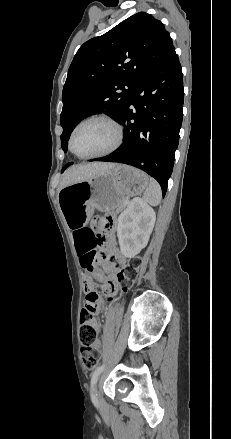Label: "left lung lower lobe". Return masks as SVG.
<instances>
[{
	"mask_svg": "<svg viewBox=\"0 0 231 439\" xmlns=\"http://www.w3.org/2000/svg\"><path fill=\"white\" fill-rule=\"evenodd\" d=\"M183 99V74L172 46L131 93L118 120L125 131L123 145L91 161L137 167L159 182L164 196L179 141Z\"/></svg>",
	"mask_w": 231,
	"mask_h": 439,
	"instance_id": "1",
	"label": "left lung lower lobe"
}]
</instances>
